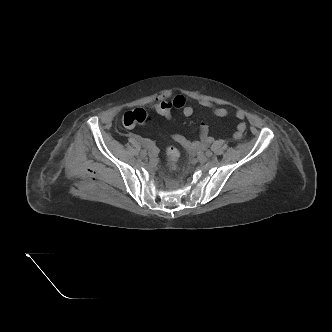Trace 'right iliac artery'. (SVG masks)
Wrapping results in <instances>:
<instances>
[{
  "label": "right iliac artery",
  "instance_id": "right-iliac-artery-1",
  "mask_svg": "<svg viewBox=\"0 0 332 332\" xmlns=\"http://www.w3.org/2000/svg\"><path fill=\"white\" fill-rule=\"evenodd\" d=\"M142 147L145 149H151V145L148 142H143Z\"/></svg>",
  "mask_w": 332,
  "mask_h": 332
}]
</instances>
